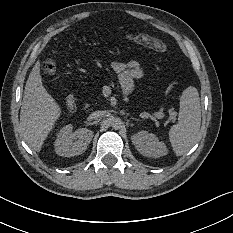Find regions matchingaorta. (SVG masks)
I'll use <instances>...</instances> for the list:
<instances>
[{
  "mask_svg": "<svg viewBox=\"0 0 233 233\" xmlns=\"http://www.w3.org/2000/svg\"><path fill=\"white\" fill-rule=\"evenodd\" d=\"M111 125L112 127L117 128V126L119 125V122L116 119H113Z\"/></svg>",
  "mask_w": 233,
  "mask_h": 233,
  "instance_id": "1",
  "label": "aorta"
}]
</instances>
